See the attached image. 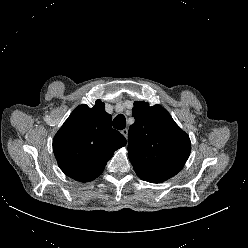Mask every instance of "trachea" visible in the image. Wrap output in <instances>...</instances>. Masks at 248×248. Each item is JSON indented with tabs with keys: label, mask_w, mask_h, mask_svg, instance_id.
I'll use <instances>...</instances> for the list:
<instances>
[{
	"label": "trachea",
	"mask_w": 248,
	"mask_h": 248,
	"mask_svg": "<svg viewBox=\"0 0 248 248\" xmlns=\"http://www.w3.org/2000/svg\"><path fill=\"white\" fill-rule=\"evenodd\" d=\"M113 127L118 130H122L126 127V118L123 114H119L114 118Z\"/></svg>",
	"instance_id": "1"
}]
</instances>
